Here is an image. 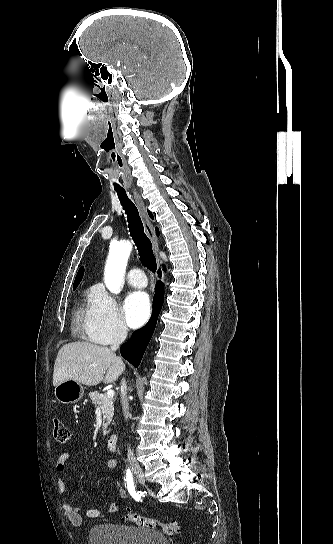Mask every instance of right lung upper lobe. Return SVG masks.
<instances>
[{"mask_svg": "<svg viewBox=\"0 0 333 544\" xmlns=\"http://www.w3.org/2000/svg\"><path fill=\"white\" fill-rule=\"evenodd\" d=\"M156 233L157 235H159V231H158V228H156ZM83 273H84V268L81 267L77 273V276H76V279H75V282H74V289H76V287L78 286V284L80 283L82 277H83Z\"/></svg>", "mask_w": 333, "mask_h": 544, "instance_id": "1", "label": "right lung upper lobe"}]
</instances>
